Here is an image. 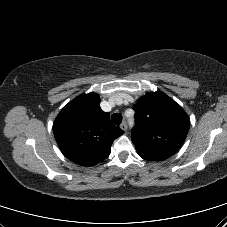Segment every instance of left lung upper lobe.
<instances>
[{
  "mask_svg": "<svg viewBox=\"0 0 227 227\" xmlns=\"http://www.w3.org/2000/svg\"><path fill=\"white\" fill-rule=\"evenodd\" d=\"M136 127L131 140L140 157L163 161L176 153L190 127L186 112L160 91L149 92L133 106Z\"/></svg>",
  "mask_w": 227,
  "mask_h": 227,
  "instance_id": "1",
  "label": "left lung upper lobe"
}]
</instances>
